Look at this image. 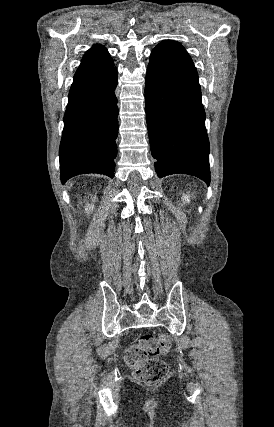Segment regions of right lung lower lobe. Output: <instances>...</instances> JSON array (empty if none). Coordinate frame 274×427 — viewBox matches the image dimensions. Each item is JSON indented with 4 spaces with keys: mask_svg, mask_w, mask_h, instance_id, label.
I'll list each match as a JSON object with an SVG mask.
<instances>
[{
    "mask_svg": "<svg viewBox=\"0 0 274 427\" xmlns=\"http://www.w3.org/2000/svg\"><path fill=\"white\" fill-rule=\"evenodd\" d=\"M112 62L98 70L76 73L69 92L60 144V178L99 173L114 177L118 107Z\"/></svg>",
    "mask_w": 274,
    "mask_h": 427,
    "instance_id": "1",
    "label": "right lung lower lobe"
}]
</instances>
